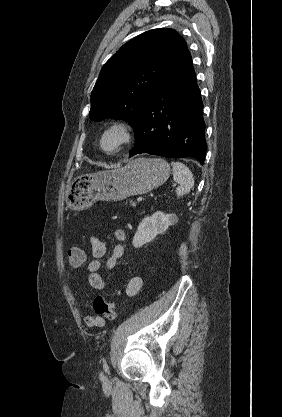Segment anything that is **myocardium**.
Returning <instances> with one entry per match:
<instances>
[{
    "label": "myocardium",
    "instance_id": "f54148a6",
    "mask_svg": "<svg viewBox=\"0 0 282 417\" xmlns=\"http://www.w3.org/2000/svg\"><path fill=\"white\" fill-rule=\"evenodd\" d=\"M108 136H115L117 138L113 150H119L130 139L129 127L125 123H117L109 127L102 136V141Z\"/></svg>",
    "mask_w": 282,
    "mask_h": 417
}]
</instances>
